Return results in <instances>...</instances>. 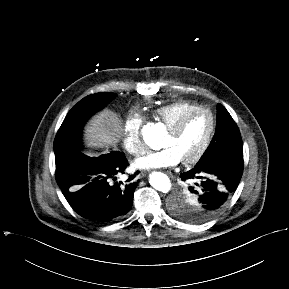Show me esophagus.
Listing matches in <instances>:
<instances>
[{"label": "esophagus", "mask_w": 289, "mask_h": 289, "mask_svg": "<svg viewBox=\"0 0 289 289\" xmlns=\"http://www.w3.org/2000/svg\"><path fill=\"white\" fill-rule=\"evenodd\" d=\"M167 175H169L170 177H173V175L171 174V172H167Z\"/></svg>", "instance_id": "1"}]
</instances>
